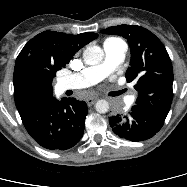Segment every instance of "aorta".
<instances>
[{"label": "aorta", "mask_w": 187, "mask_h": 187, "mask_svg": "<svg viewBox=\"0 0 187 187\" xmlns=\"http://www.w3.org/2000/svg\"><path fill=\"white\" fill-rule=\"evenodd\" d=\"M83 58L88 65H97L102 62L104 58L103 50L98 46L87 47L83 53ZM96 111L104 114L109 110V103L106 100H98L95 104Z\"/></svg>", "instance_id": "obj_1"}]
</instances>
